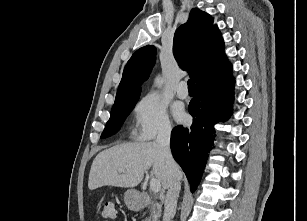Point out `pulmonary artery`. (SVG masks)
<instances>
[{"instance_id":"1","label":"pulmonary artery","mask_w":307,"mask_h":221,"mask_svg":"<svg viewBox=\"0 0 307 221\" xmlns=\"http://www.w3.org/2000/svg\"><path fill=\"white\" fill-rule=\"evenodd\" d=\"M177 96L181 99H185L188 97V89L187 83L185 81H181L177 86Z\"/></svg>"}]
</instances>
